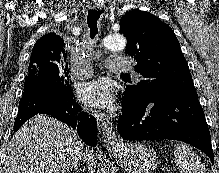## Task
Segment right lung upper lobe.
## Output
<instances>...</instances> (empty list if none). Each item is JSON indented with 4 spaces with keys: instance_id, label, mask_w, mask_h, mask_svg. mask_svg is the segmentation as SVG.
<instances>
[{
    "instance_id": "1",
    "label": "right lung upper lobe",
    "mask_w": 219,
    "mask_h": 173,
    "mask_svg": "<svg viewBox=\"0 0 219 173\" xmlns=\"http://www.w3.org/2000/svg\"><path fill=\"white\" fill-rule=\"evenodd\" d=\"M64 40L55 33L43 35L34 45L30 63L51 62L61 66L66 61Z\"/></svg>"
}]
</instances>
